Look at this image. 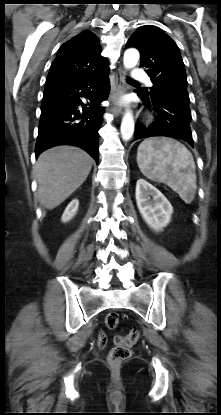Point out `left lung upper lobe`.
<instances>
[{"label":"left lung upper lobe","mask_w":221,"mask_h":415,"mask_svg":"<svg viewBox=\"0 0 221 415\" xmlns=\"http://www.w3.org/2000/svg\"><path fill=\"white\" fill-rule=\"evenodd\" d=\"M126 47L140 51V66L145 67L153 87L141 89L145 94L162 97L173 95L189 99L185 66L176 43L153 25L139 27Z\"/></svg>","instance_id":"obj_1"}]
</instances>
